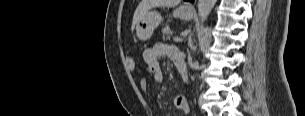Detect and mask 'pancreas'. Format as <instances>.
<instances>
[{
	"mask_svg": "<svg viewBox=\"0 0 305 116\" xmlns=\"http://www.w3.org/2000/svg\"><path fill=\"white\" fill-rule=\"evenodd\" d=\"M173 31H171L170 27L166 25L165 27L162 28V38L163 40H169L170 37L172 36Z\"/></svg>",
	"mask_w": 305,
	"mask_h": 116,
	"instance_id": "1",
	"label": "pancreas"
}]
</instances>
